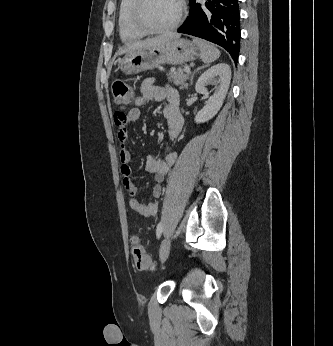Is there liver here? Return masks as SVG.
Listing matches in <instances>:
<instances>
[{
    "label": "liver",
    "instance_id": "obj_1",
    "mask_svg": "<svg viewBox=\"0 0 333 346\" xmlns=\"http://www.w3.org/2000/svg\"><path fill=\"white\" fill-rule=\"evenodd\" d=\"M178 38H180V35L176 34V33H168V34L161 35L158 37L148 38L144 41L135 42V43L127 45L124 48L119 49V51L116 53V55H122L124 53H128V52H131V51H134L137 49H141V48H145V47L161 45V44H164L170 40L178 39Z\"/></svg>",
    "mask_w": 333,
    "mask_h": 346
}]
</instances>
